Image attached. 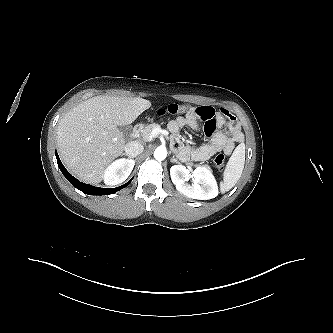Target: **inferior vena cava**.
Listing matches in <instances>:
<instances>
[{"label": "inferior vena cava", "instance_id": "obj_1", "mask_svg": "<svg viewBox=\"0 0 333 333\" xmlns=\"http://www.w3.org/2000/svg\"><path fill=\"white\" fill-rule=\"evenodd\" d=\"M144 151L142 144L136 141L128 142L125 146V152L130 156H137Z\"/></svg>", "mask_w": 333, "mask_h": 333}]
</instances>
